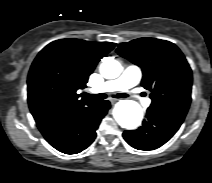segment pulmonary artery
I'll list each match as a JSON object with an SVG mask.
<instances>
[{
	"label": "pulmonary artery",
	"mask_w": 212,
	"mask_h": 183,
	"mask_svg": "<svg viewBox=\"0 0 212 183\" xmlns=\"http://www.w3.org/2000/svg\"><path fill=\"white\" fill-rule=\"evenodd\" d=\"M142 77V71L137 65H128L122 74L110 81H106L96 88V92L108 93L113 91H122L132 93L131 89L136 86ZM145 107L150 106V99L141 100Z\"/></svg>",
	"instance_id": "pulmonary-artery-1"
}]
</instances>
